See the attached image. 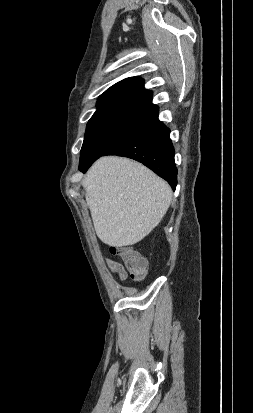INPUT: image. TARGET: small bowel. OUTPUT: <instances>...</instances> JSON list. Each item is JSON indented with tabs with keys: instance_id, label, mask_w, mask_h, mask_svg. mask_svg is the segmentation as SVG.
Listing matches in <instances>:
<instances>
[{
	"instance_id": "c3829d8e",
	"label": "small bowel",
	"mask_w": 253,
	"mask_h": 413,
	"mask_svg": "<svg viewBox=\"0 0 253 413\" xmlns=\"http://www.w3.org/2000/svg\"><path fill=\"white\" fill-rule=\"evenodd\" d=\"M104 261L107 265V267L109 268V270L115 274L116 276L119 277V279L121 280H125L127 278V272L124 268V266L115 260H112L110 258L105 257Z\"/></svg>"
}]
</instances>
